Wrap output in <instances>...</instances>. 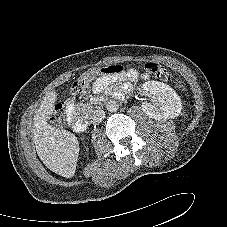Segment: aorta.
<instances>
[{
  "label": "aorta",
  "instance_id": "1",
  "mask_svg": "<svg viewBox=\"0 0 227 227\" xmlns=\"http://www.w3.org/2000/svg\"><path fill=\"white\" fill-rule=\"evenodd\" d=\"M106 108L109 112H116L119 108V105L115 100H110L107 103Z\"/></svg>",
  "mask_w": 227,
  "mask_h": 227
}]
</instances>
